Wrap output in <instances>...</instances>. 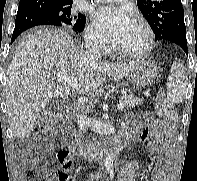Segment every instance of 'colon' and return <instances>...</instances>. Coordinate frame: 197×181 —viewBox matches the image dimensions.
<instances>
[{
  "instance_id": "obj_1",
  "label": "colon",
  "mask_w": 197,
  "mask_h": 181,
  "mask_svg": "<svg viewBox=\"0 0 197 181\" xmlns=\"http://www.w3.org/2000/svg\"><path fill=\"white\" fill-rule=\"evenodd\" d=\"M159 115L171 124L178 120V113L173 104L164 97H160L156 103ZM53 126V120L46 117L39 123L34 134L37 137L47 136ZM54 162L59 166L58 171L51 172L46 167V162L41 154L29 157V181H68L72 163L70 153L67 150H60L56 153Z\"/></svg>"
}]
</instances>
